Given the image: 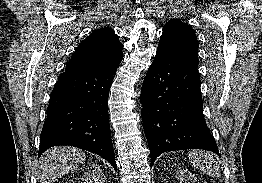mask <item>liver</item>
<instances>
[{
    "mask_svg": "<svg viewBox=\"0 0 262 183\" xmlns=\"http://www.w3.org/2000/svg\"><path fill=\"white\" fill-rule=\"evenodd\" d=\"M85 160L82 150L74 147H55L44 153L38 166L40 183H52L57 178L73 171Z\"/></svg>",
    "mask_w": 262,
    "mask_h": 183,
    "instance_id": "6515ba94",
    "label": "liver"
}]
</instances>
